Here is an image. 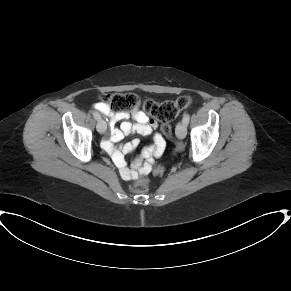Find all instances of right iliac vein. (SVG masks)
<instances>
[{"instance_id": "right-iliac-vein-1", "label": "right iliac vein", "mask_w": 291, "mask_h": 291, "mask_svg": "<svg viewBox=\"0 0 291 291\" xmlns=\"http://www.w3.org/2000/svg\"><path fill=\"white\" fill-rule=\"evenodd\" d=\"M96 129L99 133L103 134L105 133L106 129H107V124L104 120H99L97 125H96Z\"/></svg>"}]
</instances>
